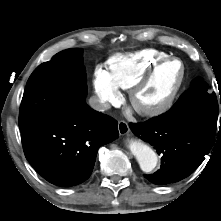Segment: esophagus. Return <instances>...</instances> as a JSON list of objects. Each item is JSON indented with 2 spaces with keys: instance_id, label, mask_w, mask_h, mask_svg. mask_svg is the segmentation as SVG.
Returning a JSON list of instances; mask_svg holds the SVG:
<instances>
[{
  "instance_id": "34e87169",
  "label": "esophagus",
  "mask_w": 221,
  "mask_h": 221,
  "mask_svg": "<svg viewBox=\"0 0 221 221\" xmlns=\"http://www.w3.org/2000/svg\"><path fill=\"white\" fill-rule=\"evenodd\" d=\"M118 131L120 135H127L130 132L129 125L125 121L118 122Z\"/></svg>"
}]
</instances>
